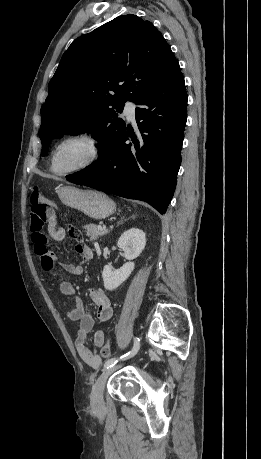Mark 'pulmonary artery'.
<instances>
[{
  "label": "pulmonary artery",
  "mask_w": 261,
  "mask_h": 459,
  "mask_svg": "<svg viewBox=\"0 0 261 459\" xmlns=\"http://www.w3.org/2000/svg\"><path fill=\"white\" fill-rule=\"evenodd\" d=\"M123 113L128 120L133 121L135 119V105L131 102L127 103L124 107Z\"/></svg>",
  "instance_id": "pulmonary-artery-1"
}]
</instances>
